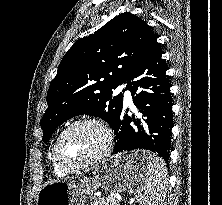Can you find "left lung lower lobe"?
<instances>
[{"label":"left lung lower lobe","mask_w":222,"mask_h":205,"mask_svg":"<svg viewBox=\"0 0 222 205\" xmlns=\"http://www.w3.org/2000/svg\"><path fill=\"white\" fill-rule=\"evenodd\" d=\"M162 54L157 36L152 33L128 72L127 86L123 90L131 92L134 105L143 113L145 119L143 122L132 120L134 117L131 118L121 111L113 127L116 137L112 155L128 150L148 149L159 156L161 152H167L163 159L166 162L169 159L173 103ZM135 78L138 80L131 82ZM138 87L148 90L137 93Z\"/></svg>","instance_id":"1"}]
</instances>
